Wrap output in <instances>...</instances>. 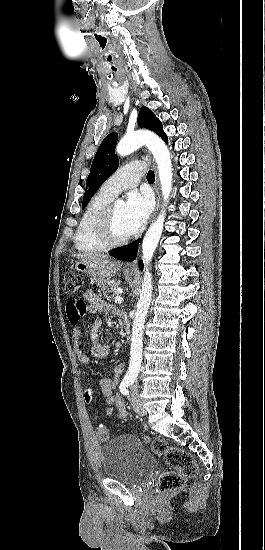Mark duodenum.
I'll use <instances>...</instances> for the list:
<instances>
[{"label": "duodenum", "mask_w": 265, "mask_h": 550, "mask_svg": "<svg viewBox=\"0 0 265 550\" xmlns=\"http://www.w3.org/2000/svg\"><path fill=\"white\" fill-rule=\"evenodd\" d=\"M124 335H125V338L127 340L130 339V335H131V330H130V325L128 322H125V325H124Z\"/></svg>", "instance_id": "obj_1"}]
</instances>
